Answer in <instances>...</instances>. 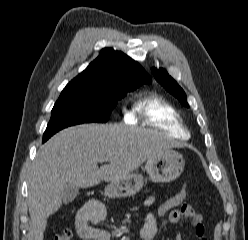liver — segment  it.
Returning <instances> with one entry per match:
<instances>
[{
    "mask_svg": "<svg viewBox=\"0 0 248 240\" xmlns=\"http://www.w3.org/2000/svg\"><path fill=\"white\" fill-rule=\"evenodd\" d=\"M179 144L157 131L112 124L66 128L37 152L30 173L28 207L34 240L62 205L68 184L88 188L127 177L146 160ZM103 161L108 164L98 167Z\"/></svg>",
    "mask_w": 248,
    "mask_h": 240,
    "instance_id": "liver-1",
    "label": "liver"
}]
</instances>
